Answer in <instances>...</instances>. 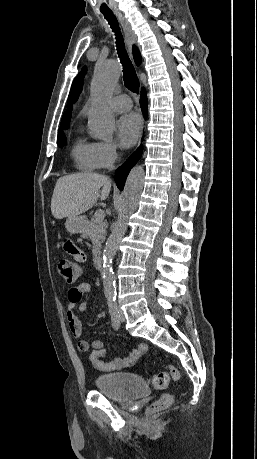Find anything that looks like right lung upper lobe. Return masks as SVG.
<instances>
[{
  "label": "right lung upper lobe",
  "mask_w": 257,
  "mask_h": 459,
  "mask_svg": "<svg viewBox=\"0 0 257 459\" xmlns=\"http://www.w3.org/2000/svg\"><path fill=\"white\" fill-rule=\"evenodd\" d=\"M133 55H134V60L136 64L139 65L141 63V55L135 46H133ZM70 119H71V111L70 109H68L62 117V122L60 125L59 132L69 127Z\"/></svg>",
  "instance_id": "right-lung-upper-lobe-1"
}]
</instances>
